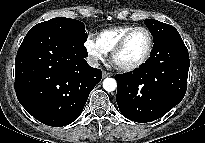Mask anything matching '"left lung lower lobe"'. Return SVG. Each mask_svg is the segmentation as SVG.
Returning <instances> with one entry per match:
<instances>
[{
  "label": "left lung lower lobe",
  "mask_w": 205,
  "mask_h": 143,
  "mask_svg": "<svg viewBox=\"0 0 205 143\" xmlns=\"http://www.w3.org/2000/svg\"><path fill=\"white\" fill-rule=\"evenodd\" d=\"M189 66L188 50L177 31L155 42L145 64L115 76L121 114L138 123L164 116L184 98Z\"/></svg>",
  "instance_id": "0a47b994"
}]
</instances>
